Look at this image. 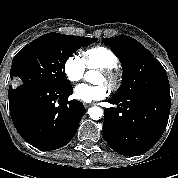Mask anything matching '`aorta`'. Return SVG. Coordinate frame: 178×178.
Masks as SVG:
<instances>
[{"label": "aorta", "mask_w": 178, "mask_h": 178, "mask_svg": "<svg viewBox=\"0 0 178 178\" xmlns=\"http://www.w3.org/2000/svg\"><path fill=\"white\" fill-rule=\"evenodd\" d=\"M92 72L93 71L90 70L85 74V76H84L85 80H87V81L90 80ZM103 113H104L103 110L97 106L91 107L88 110V114L93 120L100 119L103 116Z\"/></svg>", "instance_id": "obj_1"}]
</instances>
